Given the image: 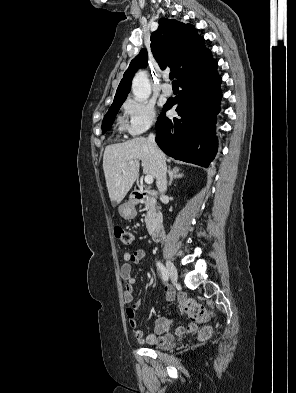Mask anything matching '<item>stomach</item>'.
Here are the masks:
<instances>
[{
  "label": "stomach",
  "mask_w": 296,
  "mask_h": 393,
  "mask_svg": "<svg viewBox=\"0 0 296 393\" xmlns=\"http://www.w3.org/2000/svg\"><path fill=\"white\" fill-rule=\"evenodd\" d=\"M120 215L127 220L135 218L137 215L135 206L131 202L123 203L118 208Z\"/></svg>",
  "instance_id": "stomach-1"
}]
</instances>
